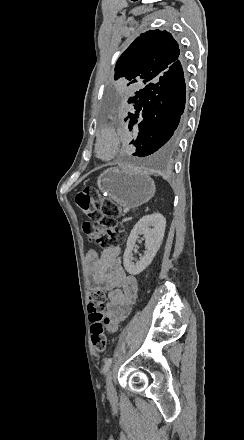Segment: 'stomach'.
<instances>
[{
	"instance_id": "1",
	"label": "stomach",
	"mask_w": 244,
	"mask_h": 440,
	"mask_svg": "<svg viewBox=\"0 0 244 440\" xmlns=\"http://www.w3.org/2000/svg\"><path fill=\"white\" fill-rule=\"evenodd\" d=\"M97 186L104 196L122 206L138 208L149 202L155 194V184L142 170L108 168L98 176Z\"/></svg>"
}]
</instances>
